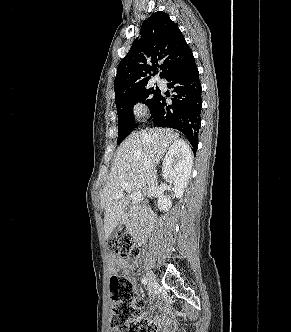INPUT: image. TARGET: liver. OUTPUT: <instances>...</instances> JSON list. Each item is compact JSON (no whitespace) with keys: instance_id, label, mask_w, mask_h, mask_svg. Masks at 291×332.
Wrapping results in <instances>:
<instances>
[{"instance_id":"liver-1","label":"liver","mask_w":291,"mask_h":332,"mask_svg":"<svg viewBox=\"0 0 291 332\" xmlns=\"http://www.w3.org/2000/svg\"><path fill=\"white\" fill-rule=\"evenodd\" d=\"M177 141H180L177 133L169 129L153 128L134 132L121 143L109 179L100 195L106 239L123 219L125 208L129 204L122 185L128 183L130 191L140 192L142 197L145 196L149 173L156 168L169 146ZM117 195L120 197L117 198Z\"/></svg>"}]
</instances>
